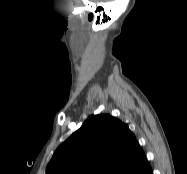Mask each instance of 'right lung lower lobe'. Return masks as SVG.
<instances>
[{
	"mask_svg": "<svg viewBox=\"0 0 187 174\" xmlns=\"http://www.w3.org/2000/svg\"><path fill=\"white\" fill-rule=\"evenodd\" d=\"M147 174H152V171H151V172H148Z\"/></svg>",
	"mask_w": 187,
	"mask_h": 174,
	"instance_id": "right-lung-lower-lobe-1",
	"label": "right lung lower lobe"
}]
</instances>
